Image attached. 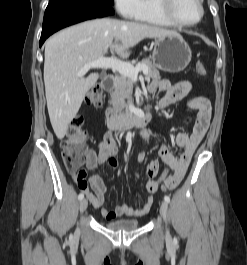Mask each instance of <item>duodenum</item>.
Returning a JSON list of instances; mask_svg holds the SVG:
<instances>
[{
	"label": "duodenum",
	"instance_id": "410a0bca",
	"mask_svg": "<svg viewBox=\"0 0 247 265\" xmlns=\"http://www.w3.org/2000/svg\"><path fill=\"white\" fill-rule=\"evenodd\" d=\"M116 78L112 74H107L101 83V86L105 90H109L113 87ZM150 112L134 113L129 115L119 114L116 110L109 108L106 114V120L108 126L114 130H121L123 128H129L134 126H145L151 119Z\"/></svg>",
	"mask_w": 247,
	"mask_h": 265
}]
</instances>
